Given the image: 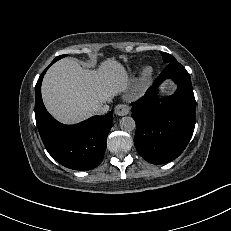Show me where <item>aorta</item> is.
Wrapping results in <instances>:
<instances>
[{"instance_id":"obj_1","label":"aorta","mask_w":231,"mask_h":231,"mask_svg":"<svg viewBox=\"0 0 231 231\" xmlns=\"http://www.w3.org/2000/svg\"><path fill=\"white\" fill-rule=\"evenodd\" d=\"M136 127L135 121L132 117L125 116L120 120V128L124 131H133Z\"/></svg>"}]
</instances>
